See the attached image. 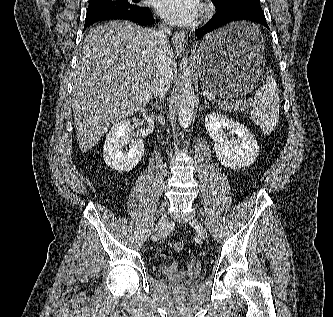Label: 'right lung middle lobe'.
Listing matches in <instances>:
<instances>
[{"mask_svg":"<svg viewBox=\"0 0 333 317\" xmlns=\"http://www.w3.org/2000/svg\"><path fill=\"white\" fill-rule=\"evenodd\" d=\"M144 9L140 5V0H89L87 14L103 11H132Z\"/></svg>","mask_w":333,"mask_h":317,"instance_id":"right-lung-middle-lobe-1","label":"right lung middle lobe"}]
</instances>
